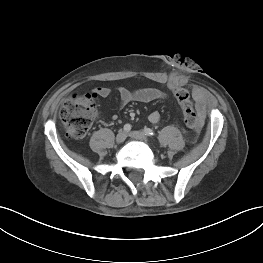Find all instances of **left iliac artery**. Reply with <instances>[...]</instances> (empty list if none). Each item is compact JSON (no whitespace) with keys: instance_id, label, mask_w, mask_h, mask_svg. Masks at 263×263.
I'll list each match as a JSON object with an SVG mask.
<instances>
[{"instance_id":"44dca946","label":"left iliac artery","mask_w":263,"mask_h":263,"mask_svg":"<svg viewBox=\"0 0 263 263\" xmlns=\"http://www.w3.org/2000/svg\"><path fill=\"white\" fill-rule=\"evenodd\" d=\"M144 133H145V135H147V136H154V131L152 130V129H150V128H144Z\"/></svg>"}]
</instances>
